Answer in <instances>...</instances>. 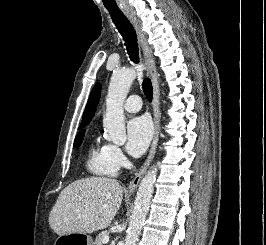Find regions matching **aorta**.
Returning a JSON list of instances; mask_svg holds the SVG:
<instances>
[{"instance_id": "obj_1", "label": "aorta", "mask_w": 266, "mask_h": 245, "mask_svg": "<svg viewBox=\"0 0 266 245\" xmlns=\"http://www.w3.org/2000/svg\"><path fill=\"white\" fill-rule=\"evenodd\" d=\"M135 76L134 68H123L113 72L106 96V112L103 116L104 137L106 141H112L119 147L127 141L123 102ZM156 175L157 169L151 167L139 185L135 207L126 231L125 245H137L139 241V235L149 211Z\"/></svg>"}]
</instances>
